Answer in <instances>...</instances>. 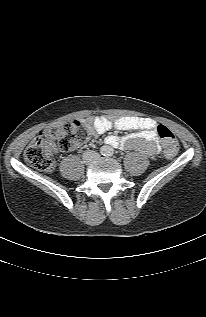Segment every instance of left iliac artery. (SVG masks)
Masks as SVG:
<instances>
[{
	"instance_id": "1",
	"label": "left iliac artery",
	"mask_w": 206,
	"mask_h": 317,
	"mask_svg": "<svg viewBox=\"0 0 206 317\" xmlns=\"http://www.w3.org/2000/svg\"><path fill=\"white\" fill-rule=\"evenodd\" d=\"M114 154V150L113 149H109L107 151V156H112Z\"/></svg>"
}]
</instances>
